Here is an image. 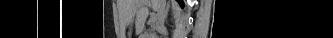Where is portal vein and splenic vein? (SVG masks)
Returning <instances> with one entry per match:
<instances>
[{
	"instance_id": "1",
	"label": "portal vein and splenic vein",
	"mask_w": 333,
	"mask_h": 38,
	"mask_svg": "<svg viewBox=\"0 0 333 38\" xmlns=\"http://www.w3.org/2000/svg\"><path fill=\"white\" fill-rule=\"evenodd\" d=\"M157 18H158V16L155 13H152L151 17H150V20H151V22H155V21H157Z\"/></svg>"
}]
</instances>
